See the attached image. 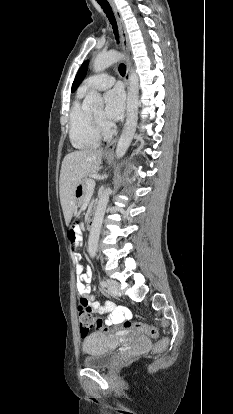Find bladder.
<instances>
[{"mask_svg": "<svg viewBox=\"0 0 233 414\" xmlns=\"http://www.w3.org/2000/svg\"><path fill=\"white\" fill-rule=\"evenodd\" d=\"M86 353L83 366L91 369H106L115 359L112 338L101 332L90 333L83 342Z\"/></svg>", "mask_w": 233, "mask_h": 414, "instance_id": "bladder-1", "label": "bladder"}]
</instances>
